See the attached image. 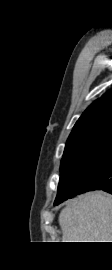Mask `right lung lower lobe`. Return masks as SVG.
Segmentation results:
<instances>
[{
  "label": "right lung lower lobe",
  "mask_w": 112,
  "mask_h": 270,
  "mask_svg": "<svg viewBox=\"0 0 112 270\" xmlns=\"http://www.w3.org/2000/svg\"><path fill=\"white\" fill-rule=\"evenodd\" d=\"M84 191L104 190L112 194V143L100 161L82 177Z\"/></svg>",
  "instance_id": "1"
}]
</instances>
